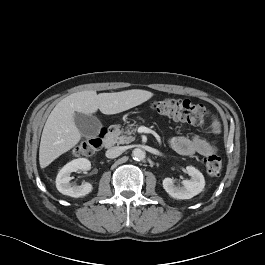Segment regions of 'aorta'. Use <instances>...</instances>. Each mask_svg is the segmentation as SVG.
I'll return each instance as SVG.
<instances>
[{"mask_svg": "<svg viewBox=\"0 0 265 265\" xmlns=\"http://www.w3.org/2000/svg\"><path fill=\"white\" fill-rule=\"evenodd\" d=\"M132 157L134 160L141 161L146 157V152L140 148H135L132 151Z\"/></svg>", "mask_w": 265, "mask_h": 265, "instance_id": "1", "label": "aorta"}]
</instances>
